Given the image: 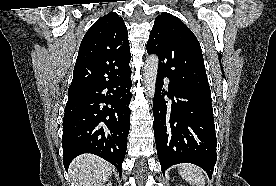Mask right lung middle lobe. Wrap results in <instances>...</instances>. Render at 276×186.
I'll use <instances>...</instances> for the list:
<instances>
[{
    "label": "right lung middle lobe",
    "mask_w": 276,
    "mask_h": 186,
    "mask_svg": "<svg viewBox=\"0 0 276 186\" xmlns=\"http://www.w3.org/2000/svg\"><path fill=\"white\" fill-rule=\"evenodd\" d=\"M76 92H77V91H76ZM68 95H69V96H72V95H73V92H69V91H68Z\"/></svg>",
    "instance_id": "1"
}]
</instances>
